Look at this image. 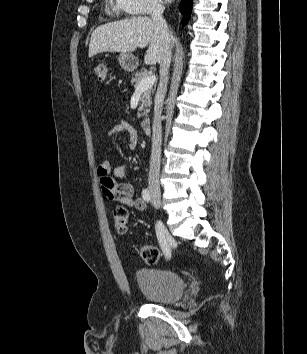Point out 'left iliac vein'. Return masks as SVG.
I'll list each match as a JSON object with an SVG mask.
<instances>
[{
	"label": "left iliac vein",
	"instance_id": "1",
	"mask_svg": "<svg viewBox=\"0 0 307 354\" xmlns=\"http://www.w3.org/2000/svg\"><path fill=\"white\" fill-rule=\"evenodd\" d=\"M153 205H154L155 208H158V206H157V204L154 202V200H153Z\"/></svg>",
	"mask_w": 307,
	"mask_h": 354
}]
</instances>
